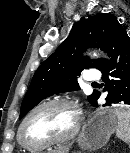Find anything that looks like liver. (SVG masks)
I'll return each mask as SVG.
<instances>
[{
    "instance_id": "1",
    "label": "liver",
    "mask_w": 130,
    "mask_h": 153,
    "mask_svg": "<svg viewBox=\"0 0 130 153\" xmlns=\"http://www.w3.org/2000/svg\"><path fill=\"white\" fill-rule=\"evenodd\" d=\"M55 153H64V150H56Z\"/></svg>"
}]
</instances>
